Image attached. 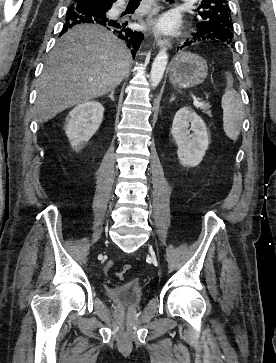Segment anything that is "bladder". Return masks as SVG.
<instances>
[{"label": "bladder", "instance_id": "1", "mask_svg": "<svg viewBox=\"0 0 276 363\" xmlns=\"http://www.w3.org/2000/svg\"><path fill=\"white\" fill-rule=\"evenodd\" d=\"M107 294L113 301L123 306L134 307L141 302L142 288L133 284L119 285L109 288Z\"/></svg>", "mask_w": 276, "mask_h": 363}]
</instances>
